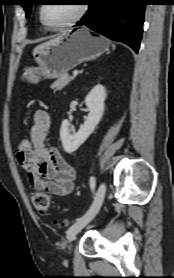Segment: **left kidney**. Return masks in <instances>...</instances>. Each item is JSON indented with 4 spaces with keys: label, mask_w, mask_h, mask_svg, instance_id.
<instances>
[{
    "label": "left kidney",
    "mask_w": 174,
    "mask_h": 278,
    "mask_svg": "<svg viewBox=\"0 0 174 278\" xmlns=\"http://www.w3.org/2000/svg\"><path fill=\"white\" fill-rule=\"evenodd\" d=\"M105 99V87L101 84L94 86L85 98L89 114L84 124L80 126L78 132L71 133L69 121L63 120L60 128V138L63 149L67 153L75 152L92 134L103 116Z\"/></svg>",
    "instance_id": "left-kidney-1"
}]
</instances>
